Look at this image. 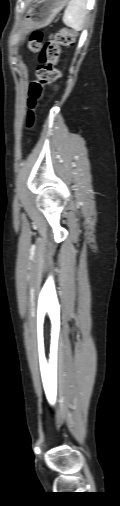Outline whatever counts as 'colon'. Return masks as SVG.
Here are the masks:
<instances>
[{"mask_svg": "<svg viewBox=\"0 0 120 506\" xmlns=\"http://www.w3.org/2000/svg\"><path fill=\"white\" fill-rule=\"evenodd\" d=\"M76 33L67 28L58 30L52 39L43 42V35L40 31H35L29 39V50L39 52L40 64L36 71V80L30 84L28 103L31 111L28 113L27 125L31 128L35 123V115L32 111L37 105L42 95L43 86L52 84L59 77V71L56 69V63L59 58L60 49L63 46H70L74 43Z\"/></svg>", "mask_w": 120, "mask_h": 506, "instance_id": "1", "label": "colon"}]
</instances>
